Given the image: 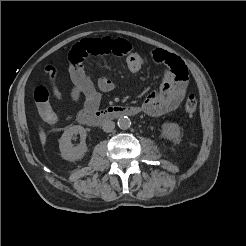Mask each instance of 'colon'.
Listing matches in <instances>:
<instances>
[{
	"instance_id": "colon-1",
	"label": "colon",
	"mask_w": 246,
	"mask_h": 246,
	"mask_svg": "<svg viewBox=\"0 0 246 246\" xmlns=\"http://www.w3.org/2000/svg\"><path fill=\"white\" fill-rule=\"evenodd\" d=\"M34 100L38 112L42 119L49 124H56L59 121L58 115L51 109L49 105V93L43 86H38L34 91ZM197 110V100L193 94L188 95L184 111L188 117H192Z\"/></svg>"
}]
</instances>
